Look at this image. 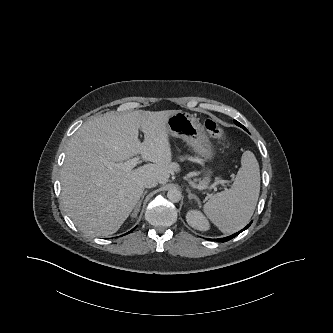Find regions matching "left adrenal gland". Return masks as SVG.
<instances>
[{"mask_svg": "<svg viewBox=\"0 0 333 333\" xmlns=\"http://www.w3.org/2000/svg\"><path fill=\"white\" fill-rule=\"evenodd\" d=\"M186 191L188 192V199L189 200L195 199L196 201L199 202V198L195 194L191 193V191L188 188L186 189Z\"/></svg>", "mask_w": 333, "mask_h": 333, "instance_id": "1", "label": "left adrenal gland"}]
</instances>
